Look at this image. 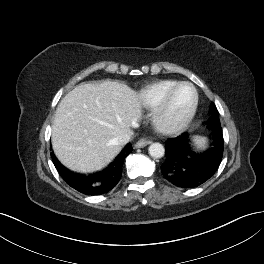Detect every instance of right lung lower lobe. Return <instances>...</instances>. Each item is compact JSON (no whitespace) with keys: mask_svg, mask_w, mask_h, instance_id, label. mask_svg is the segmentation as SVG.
Segmentation results:
<instances>
[{"mask_svg":"<svg viewBox=\"0 0 264 264\" xmlns=\"http://www.w3.org/2000/svg\"><path fill=\"white\" fill-rule=\"evenodd\" d=\"M133 150L129 143L117 158L104 170L88 176L70 172L51 153L53 163L65 182L87 195H100L110 191L120 180L125 157Z\"/></svg>","mask_w":264,"mask_h":264,"instance_id":"98d812e1","label":"right lung lower lobe"}]
</instances>
